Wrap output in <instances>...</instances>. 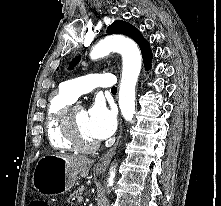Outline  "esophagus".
<instances>
[{
    "instance_id": "obj_1",
    "label": "esophagus",
    "mask_w": 221,
    "mask_h": 206,
    "mask_svg": "<svg viewBox=\"0 0 221 206\" xmlns=\"http://www.w3.org/2000/svg\"><path fill=\"white\" fill-rule=\"evenodd\" d=\"M121 134H122V126L120 127V131H119V135H118L116 143L114 144V146L108 152H106L100 158V160L98 161V163L96 165V170H105L108 167V165H109V163H110V161H111V159H112V157H113V155L116 151V148L118 146Z\"/></svg>"
}]
</instances>
